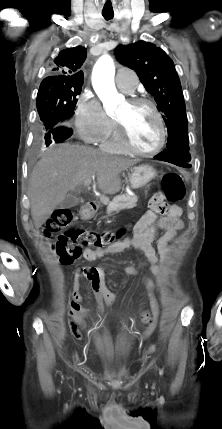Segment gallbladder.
I'll return each instance as SVG.
<instances>
[{"label": "gallbladder", "instance_id": "obj_1", "mask_svg": "<svg viewBox=\"0 0 222 429\" xmlns=\"http://www.w3.org/2000/svg\"><path fill=\"white\" fill-rule=\"evenodd\" d=\"M79 200L72 194H67L65 199L58 205L60 209H67L74 207L78 204Z\"/></svg>", "mask_w": 222, "mask_h": 429}]
</instances>
